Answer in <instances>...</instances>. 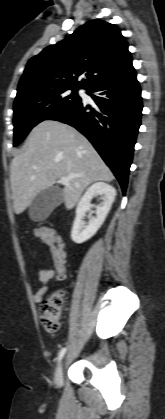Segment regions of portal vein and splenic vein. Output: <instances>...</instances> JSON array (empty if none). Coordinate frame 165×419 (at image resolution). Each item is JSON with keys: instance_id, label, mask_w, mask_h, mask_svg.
<instances>
[{"instance_id": "portal-vein-and-splenic-vein-1", "label": "portal vein and splenic vein", "mask_w": 165, "mask_h": 419, "mask_svg": "<svg viewBox=\"0 0 165 419\" xmlns=\"http://www.w3.org/2000/svg\"><path fill=\"white\" fill-rule=\"evenodd\" d=\"M71 178H73V176H68V177H61L60 178V180H59V183H61V184H67L68 183V181L71 179Z\"/></svg>"}]
</instances>
